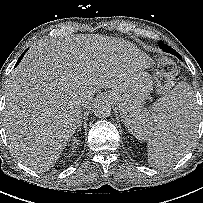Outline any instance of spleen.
<instances>
[{
	"label": "spleen",
	"instance_id": "obj_1",
	"mask_svg": "<svg viewBox=\"0 0 203 203\" xmlns=\"http://www.w3.org/2000/svg\"><path fill=\"white\" fill-rule=\"evenodd\" d=\"M168 120L185 129L182 142L160 135L161 127L167 125ZM196 122V101L192 87L180 82L153 104L151 115L149 111H136L125 121V125L138 140H147L148 161L160 167L172 165L188 152L197 131Z\"/></svg>",
	"mask_w": 203,
	"mask_h": 203
}]
</instances>
